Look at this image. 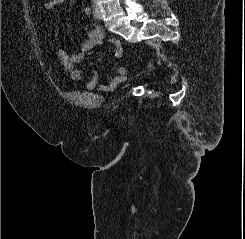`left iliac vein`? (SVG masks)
Masks as SVG:
<instances>
[{
    "instance_id": "obj_1",
    "label": "left iliac vein",
    "mask_w": 245,
    "mask_h": 239,
    "mask_svg": "<svg viewBox=\"0 0 245 239\" xmlns=\"http://www.w3.org/2000/svg\"><path fill=\"white\" fill-rule=\"evenodd\" d=\"M96 14L98 15L99 18H101V12L98 6L95 7Z\"/></svg>"
}]
</instances>
